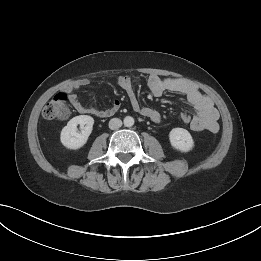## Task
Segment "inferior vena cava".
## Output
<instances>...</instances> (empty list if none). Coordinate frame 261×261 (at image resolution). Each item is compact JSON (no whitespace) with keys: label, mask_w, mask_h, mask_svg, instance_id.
Instances as JSON below:
<instances>
[{"label":"inferior vena cava","mask_w":261,"mask_h":261,"mask_svg":"<svg viewBox=\"0 0 261 261\" xmlns=\"http://www.w3.org/2000/svg\"><path fill=\"white\" fill-rule=\"evenodd\" d=\"M121 126H122V121L118 118H112L109 121V128L111 130H116V129L120 128Z\"/></svg>","instance_id":"obj_1"}]
</instances>
